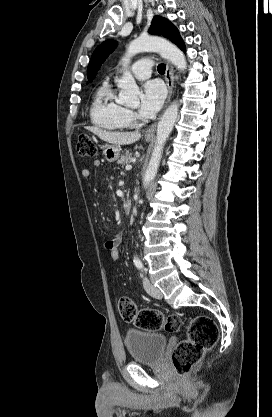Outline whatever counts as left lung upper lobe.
Here are the masks:
<instances>
[{
	"label": "left lung upper lobe",
	"mask_w": 272,
	"mask_h": 417,
	"mask_svg": "<svg viewBox=\"0 0 272 417\" xmlns=\"http://www.w3.org/2000/svg\"><path fill=\"white\" fill-rule=\"evenodd\" d=\"M148 33L166 37L175 43L181 50L185 49L184 42L180 37L178 29L169 20L163 17L155 16L153 18ZM116 46L117 43L115 41L108 40L95 49L87 70L89 82L93 80L102 63L109 56V54L113 52Z\"/></svg>",
	"instance_id": "5c2ea615"
}]
</instances>
